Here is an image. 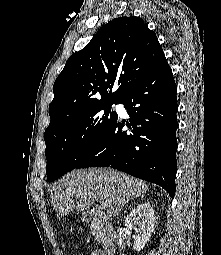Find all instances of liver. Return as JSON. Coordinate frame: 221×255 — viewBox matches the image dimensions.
Segmentation results:
<instances>
[{"label":"liver","instance_id":"6515ba94","mask_svg":"<svg viewBox=\"0 0 221 255\" xmlns=\"http://www.w3.org/2000/svg\"><path fill=\"white\" fill-rule=\"evenodd\" d=\"M149 191L143 181L111 168L74 170L50 189L51 204L58 215L90 209L95 200L116 216L123 206Z\"/></svg>","mask_w":221,"mask_h":255}]
</instances>
